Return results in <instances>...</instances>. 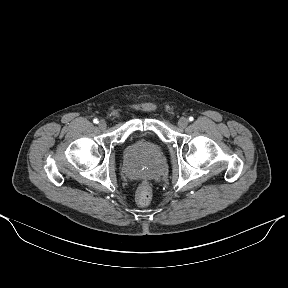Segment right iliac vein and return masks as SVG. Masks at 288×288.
<instances>
[{
  "instance_id": "1",
  "label": "right iliac vein",
  "mask_w": 288,
  "mask_h": 288,
  "mask_svg": "<svg viewBox=\"0 0 288 288\" xmlns=\"http://www.w3.org/2000/svg\"><path fill=\"white\" fill-rule=\"evenodd\" d=\"M98 127H99L101 130H104V129H106V127H107V123H106L104 120H100L99 123H98Z\"/></svg>"
}]
</instances>
